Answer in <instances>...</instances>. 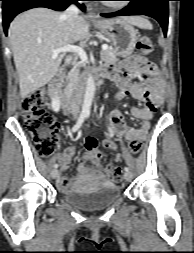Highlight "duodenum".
Returning a JSON list of instances; mask_svg holds the SVG:
<instances>
[{
  "label": "duodenum",
  "instance_id": "obj_1",
  "mask_svg": "<svg viewBox=\"0 0 194 253\" xmlns=\"http://www.w3.org/2000/svg\"><path fill=\"white\" fill-rule=\"evenodd\" d=\"M103 77L101 73L96 75V79L99 80ZM64 73L57 75L49 84L50 95L59 101L61 110L64 114H70L74 111L75 106L73 102L66 98L62 93V82Z\"/></svg>",
  "mask_w": 194,
  "mask_h": 253
}]
</instances>
